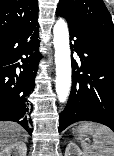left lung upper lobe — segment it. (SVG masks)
<instances>
[{
	"mask_svg": "<svg viewBox=\"0 0 114 156\" xmlns=\"http://www.w3.org/2000/svg\"><path fill=\"white\" fill-rule=\"evenodd\" d=\"M57 10L74 26L114 45L113 22L102 0H60Z\"/></svg>",
	"mask_w": 114,
	"mask_h": 156,
	"instance_id": "left-lung-upper-lobe-1",
	"label": "left lung upper lobe"
}]
</instances>
